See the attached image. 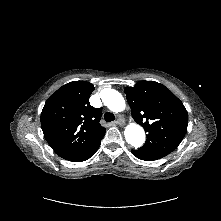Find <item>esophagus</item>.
<instances>
[{"instance_id": "esophagus-1", "label": "esophagus", "mask_w": 221, "mask_h": 221, "mask_svg": "<svg viewBox=\"0 0 221 221\" xmlns=\"http://www.w3.org/2000/svg\"><path fill=\"white\" fill-rule=\"evenodd\" d=\"M116 124H117V125H120V126L124 125V120H123V118L118 117L117 120H116Z\"/></svg>"}]
</instances>
